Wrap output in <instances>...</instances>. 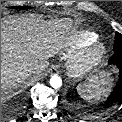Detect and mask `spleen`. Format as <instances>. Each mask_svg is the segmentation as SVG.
Masks as SVG:
<instances>
[{
	"instance_id": "spleen-1",
	"label": "spleen",
	"mask_w": 122,
	"mask_h": 122,
	"mask_svg": "<svg viewBox=\"0 0 122 122\" xmlns=\"http://www.w3.org/2000/svg\"><path fill=\"white\" fill-rule=\"evenodd\" d=\"M113 79L110 73H104L100 77L90 78L87 82L77 87L79 95L88 102H98L107 96Z\"/></svg>"
}]
</instances>
